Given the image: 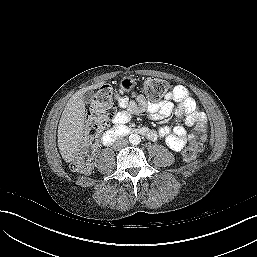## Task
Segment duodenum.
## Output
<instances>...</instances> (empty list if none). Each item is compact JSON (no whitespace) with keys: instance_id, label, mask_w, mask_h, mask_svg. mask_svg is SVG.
<instances>
[{"instance_id":"1","label":"duodenum","mask_w":257,"mask_h":257,"mask_svg":"<svg viewBox=\"0 0 257 257\" xmlns=\"http://www.w3.org/2000/svg\"><path fill=\"white\" fill-rule=\"evenodd\" d=\"M150 132L145 127L131 128L124 125H115L109 129L103 136V143L105 145H111L118 138L129 135V134H139L148 135Z\"/></svg>"}]
</instances>
